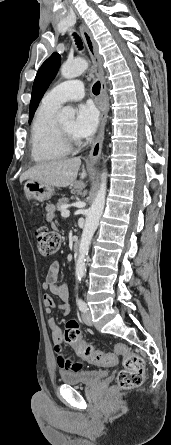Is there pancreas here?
<instances>
[{
    "mask_svg": "<svg viewBox=\"0 0 171 445\" xmlns=\"http://www.w3.org/2000/svg\"><path fill=\"white\" fill-rule=\"evenodd\" d=\"M68 202H69V199H68V198H62V199H60V200L58 201V204H57V209H58L59 211H62V210H63V206L66 205Z\"/></svg>",
    "mask_w": 171,
    "mask_h": 445,
    "instance_id": "pancreas-1",
    "label": "pancreas"
}]
</instances>
